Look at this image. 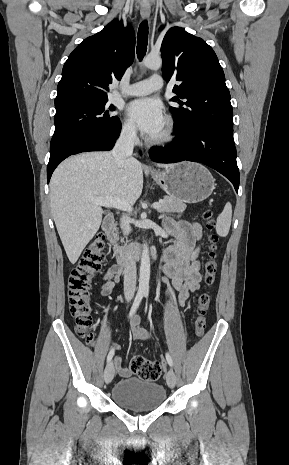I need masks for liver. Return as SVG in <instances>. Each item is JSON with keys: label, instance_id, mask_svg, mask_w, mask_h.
Returning <instances> with one entry per match:
<instances>
[{"label": "liver", "instance_id": "1", "mask_svg": "<svg viewBox=\"0 0 289 465\" xmlns=\"http://www.w3.org/2000/svg\"><path fill=\"white\" fill-rule=\"evenodd\" d=\"M168 168L170 164H157ZM143 189V169L135 158L117 163L112 152H87L64 160L50 181L51 212L69 261L75 264L102 222L95 197L133 205Z\"/></svg>", "mask_w": 289, "mask_h": 465}]
</instances>
